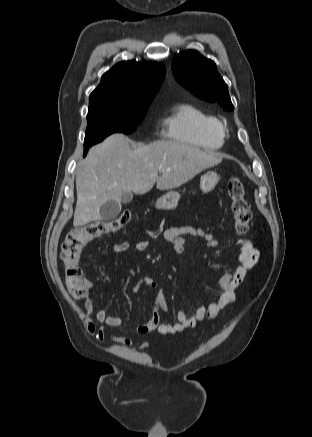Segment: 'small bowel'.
I'll return each mask as SVG.
<instances>
[{
    "instance_id": "small-bowel-1",
    "label": "small bowel",
    "mask_w": 312,
    "mask_h": 437,
    "mask_svg": "<svg viewBox=\"0 0 312 437\" xmlns=\"http://www.w3.org/2000/svg\"><path fill=\"white\" fill-rule=\"evenodd\" d=\"M164 238L172 245L177 253H182L186 249V243L189 239H197L204 245L210 248H219L221 242L212 233L204 231L202 228L194 226H175L166 229ZM241 249L238 255V266L233 272L225 273L219 279V286L222 290L220 296L206 306H199L193 315L181 309L177 313V321L173 323H163L160 321V311L167 312L168 307L163 292H160L153 303L151 315L143 321L142 324L136 326L134 330L139 334L157 333L161 335H173L182 332L186 328H194L200 322L206 319L216 317L221 311L226 309L235 300V291L240 285L245 275L257 264L259 260V251L255 248L252 241L249 239H241ZM133 248L136 251H145L148 243L145 240H137L133 244L127 241H122L112 246V253L121 254ZM141 285L149 288L157 287V282L150 278L144 277L132 287L133 292H138ZM101 297V296H100ZM84 319L87 333L95 337L100 342L111 341L124 346H133L134 342L131 338L110 333L107 327L120 328L123 326V321L119 316L108 314L104 309L95 311V302L93 298H89L84 306ZM95 313V319L101 324L96 327L92 315ZM148 341H143L138 344L140 348L149 347Z\"/></svg>"
}]
</instances>
